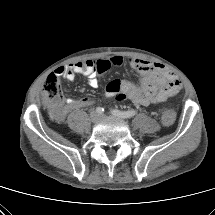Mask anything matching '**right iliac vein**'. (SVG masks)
I'll return each mask as SVG.
<instances>
[{"label":"right iliac vein","instance_id":"1","mask_svg":"<svg viewBox=\"0 0 215 215\" xmlns=\"http://www.w3.org/2000/svg\"><path fill=\"white\" fill-rule=\"evenodd\" d=\"M90 117H91L92 122H97L100 119L99 115L96 112H92L90 114Z\"/></svg>","mask_w":215,"mask_h":215}]
</instances>
